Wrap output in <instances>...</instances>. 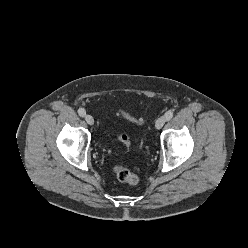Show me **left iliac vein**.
I'll list each match as a JSON object with an SVG mask.
<instances>
[{"label":"left iliac vein","instance_id":"left-iliac-vein-1","mask_svg":"<svg viewBox=\"0 0 248 248\" xmlns=\"http://www.w3.org/2000/svg\"><path fill=\"white\" fill-rule=\"evenodd\" d=\"M166 122V118L164 116L159 117L155 122V128L161 129Z\"/></svg>","mask_w":248,"mask_h":248}]
</instances>
